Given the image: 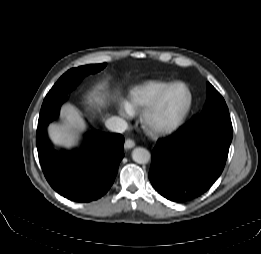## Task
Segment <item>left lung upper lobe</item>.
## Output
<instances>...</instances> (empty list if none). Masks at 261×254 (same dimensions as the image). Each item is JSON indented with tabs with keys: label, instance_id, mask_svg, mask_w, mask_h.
<instances>
[{
	"label": "left lung upper lobe",
	"instance_id": "left-lung-upper-lobe-1",
	"mask_svg": "<svg viewBox=\"0 0 261 254\" xmlns=\"http://www.w3.org/2000/svg\"><path fill=\"white\" fill-rule=\"evenodd\" d=\"M206 122H231L228 107L221 94L210 84H207V100L200 114L188 123L196 126Z\"/></svg>",
	"mask_w": 261,
	"mask_h": 254
}]
</instances>
